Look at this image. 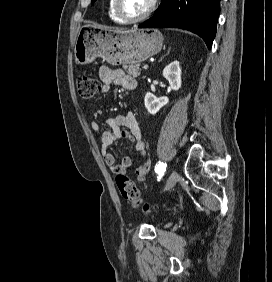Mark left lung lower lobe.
I'll list each match as a JSON object with an SVG mask.
<instances>
[{
	"instance_id": "obj_1",
	"label": "left lung lower lobe",
	"mask_w": 272,
	"mask_h": 282,
	"mask_svg": "<svg viewBox=\"0 0 272 282\" xmlns=\"http://www.w3.org/2000/svg\"><path fill=\"white\" fill-rule=\"evenodd\" d=\"M219 11L220 0H162L156 14L138 27L189 30L202 37L211 48Z\"/></svg>"
}]
</instances>
